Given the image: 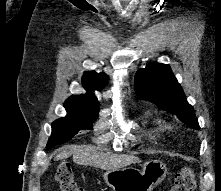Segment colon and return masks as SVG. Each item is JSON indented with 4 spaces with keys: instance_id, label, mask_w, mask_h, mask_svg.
<instances>
[{
    "instance_id": "5ec220e1",
    "label": "colon",
    "mask_w": 221,
    "mask_h": 191,
    "mask_svg": "<svg viewBox=\"0 0 221 191\" xmlns=\"http://www.w3.org/2000/svg\"><path fill=\"white\" fill-rule=\"evenodd\" d=\"M55 180L60 191H85L76 181L72 167L69 163H62L58 166ZM195 175L192 169L185 167L176 175L169 191H194Z\"/></svg>"
}]
</instances>
